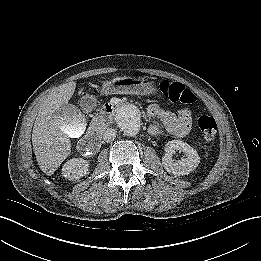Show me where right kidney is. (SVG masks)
<instances>
[{
  "label": "right kidney",
  "instance_id": "ca27d5eb",
  "mask_svg": "<svg viewBox=\"0 0 261 261\" xmlns=\"http://www.w3.org/2000/svg\"><path fill=\"white\" fill-rule=\"evenodd\" d=\"M89 170V163L82 158H73L67 161L62 168L63 176L68 180H78Z\"/></svg>",
  "mask_w": 261,
  "mask_h": 261
}]
</instances>
